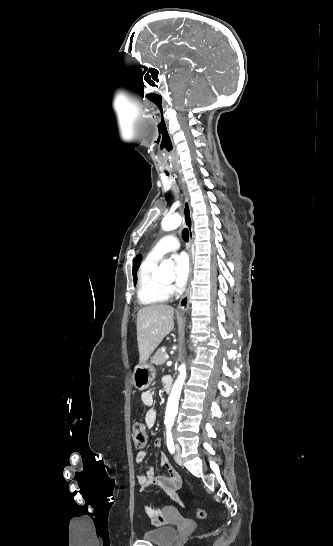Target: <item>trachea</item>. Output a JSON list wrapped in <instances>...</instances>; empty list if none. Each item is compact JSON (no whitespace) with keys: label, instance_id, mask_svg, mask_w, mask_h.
Wrapping results in <instances>:
<instances>
[{"label":"trachea","instance_id":"1","mask_svg":"<svg viewBox=\"0 0 333 546\" xmlns=\"http://www.w3.org/2000/svg\"><path fill=\"white\" fill-rule=\"evenodd\" d=\"M167 175H168V174H167ZM182 237H183V240H184L185 242H188V240H189V231H188L187 228H184V229L182 230Z\"/></svg>","mask_w":333,"mask_h":546}]
</instances>
